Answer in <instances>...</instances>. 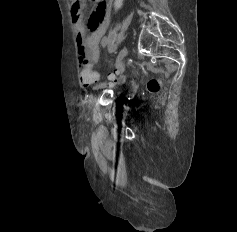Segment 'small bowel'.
Returning <instances> with one entry per match:
<instances>
[{
    "instance_id": "1",
    "label": "small bowel",
    "mask_w": 237,
    "mask_h": 232,
    "mask_svg": "<svg viewBox=\"0 0 237 232\" xmlns=\"http://www.w3.org/2000/svg\"><path fill=\"white\" fill-rule=\"evenodd\" d=\"M96 8L92 12L88 27L83 19L85 0H72V18L76 30L77 52L80 64L97 62L100 56V42L110 21L114 0H93Z\"/></svg>"
}]
</instances>
